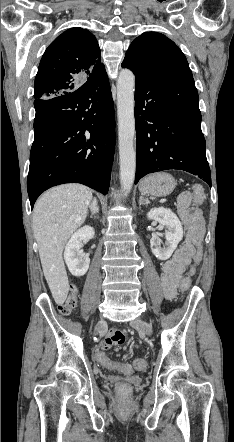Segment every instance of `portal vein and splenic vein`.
<instances>
[{
	"label": "portal vein and splenic vein",
	"instance_id": "obj_1",
	"mask_svg": "<svg viewBox=\"0 0 234 442\" xmlns=\"http://www.w3.org/2000/svg\"><path fill=\"white\" fill-rule=\"evenodd\" d=\"M166 201V199H162L160 202H165Z\"/></svg>",
	"mask_w": 234,
	"mask_h": 442
}]
</instances>
